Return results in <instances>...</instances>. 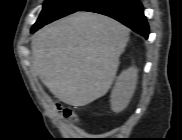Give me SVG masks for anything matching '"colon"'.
Wrapping results in <instances>:
<instances>
[{
	"instance_id": "1",
	"label": "colon",
	"mask_w": 182,
	"mask_h": 140,
	"mask_svg": "<svg viewBox=\"0 0 182 140\" xmlns=\"http://www.w3.org/2000/svg\"><path fill=\"white\" fill-rule=\"evenodd\" d=\"M63 112L67 117H70L72 120H76V117H75L74 113L72 112V110L64 109Z\"/></svg>"
}]
</instances>
